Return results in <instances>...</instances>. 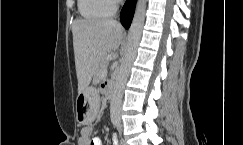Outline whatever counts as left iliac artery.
<instances>
[{
	"mask_svg": "<svg viewBox=\"0 0 243 145\" xmlns=\"http://www.w3.org/2000/svg\"><path fill=\"white\" fill-rule=\"evenodd\" d=\"M117 128H118L119 132H121V125L120 124H117Z\"/></svg>",
	"mask_w": 243,
	"mask_h": 145,
	"instance_id": "obj_1",
	"label": "left iliac artery"
}]
</instances>
